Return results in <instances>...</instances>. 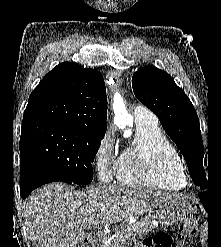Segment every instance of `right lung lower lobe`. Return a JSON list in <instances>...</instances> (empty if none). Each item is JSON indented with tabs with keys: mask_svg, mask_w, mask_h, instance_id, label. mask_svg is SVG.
<instances>
[{
	"mask_svg": "<svg viewBox=\"0 0 221 247\" xmlns=\"http://www.w3.org/2000/svg\"><path fill=\"white\" fill-rule=\"evenodd\" d=\"M56 181L77 185L39 160L20 157V193L23 199L37 187Z\"/></svg>",
	"mask_w": 221,
	"mask_h": 247,
	"instance_id": "obj_1",
	"label": "right lung lower lobe"
}]
</instances>
